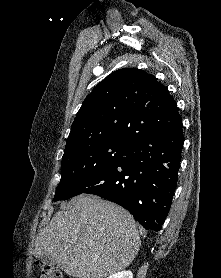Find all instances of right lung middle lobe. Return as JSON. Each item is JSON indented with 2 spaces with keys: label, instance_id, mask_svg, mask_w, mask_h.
Returning <instances> with one entry per match:
<instances>
[{
  "label": "right lung middle lobe",
  "instance_id": "1",
  "mask_svg": "<svg viewBox=\"0 0 221 278\" xmlns=\"http://www.w3.org/2000/svg\"><path fill=\"white\" fill-rule=\"evenodd\" d=\"M129 144V140L118 138L92 139L66 150L54 201L73 197L82 185L120 159Z\"/></svg>",
  "mask_w": 221,
  "mask_h": 278
}]
</instances>
